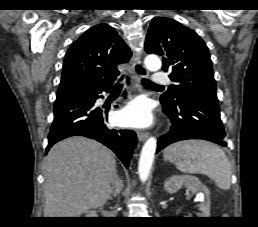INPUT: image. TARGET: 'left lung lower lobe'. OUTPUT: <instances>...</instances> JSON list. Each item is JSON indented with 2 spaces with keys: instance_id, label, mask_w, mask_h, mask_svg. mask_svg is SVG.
<instances>
[{
  "instance_id": "1",
  "label": "left lung lower lobe",
  "mask_w": 258,
  "mask_h": 227,
  "mask_svg": "<svg viewBox=\"0 0 258 227\" xmlns=\"http://www.w3.org/2000/svg\"><path fill=\"white\" fill-rule=\"evenodd\" d=\"M161 103L172 127L159 138L157 153L169 144L185 139H204L227 146L223 140L225 131L216 95L195 92L183 96L174 104Z\"/></svg>"
}]
</instances>
